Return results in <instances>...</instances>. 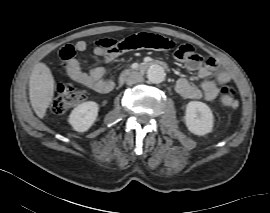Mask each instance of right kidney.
<instances>
[{
	"mask_svg": "<svg viewBox=\"0 0 270 213\" xmlns=\"http://www.w3.org/2000/svg\"><path fill=\"white\" fill-rule=\"evenodd\" d=\"M99 105L93 101H87L75 107L70 116L69 123L77 132L87 131L98 116Z\"/></svg>",
	"mask_w": 270,
	"mask_h": 213,
	"instance_id": "ca27d5eb",
	"label": "right kidney"
}]
</instances>
